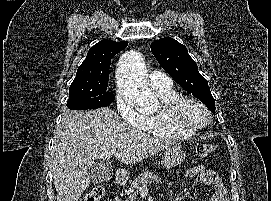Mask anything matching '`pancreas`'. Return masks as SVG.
Returning a JSON list of instances; mask_svg holds the SVG:
<instances>
[{"label":"pancreas","mask_w":271,"mask_h":201,"mask_svg":"<svg viewBox=\"0 0 271 201\" xmlns=\"http://www.w3.org/2000/svg\"><path fill=\"white\" fill-rule=\"evenodd\" d=\"M161 178L155 175L152 171L142 172L137 178L133 180L128 190L116 197V201H139L138 196L140 193V187L147 186L148 183L160 182ZM126 196L125 200L122 198Z\"/></svg>","instance_id":"1"}]
</instances>
